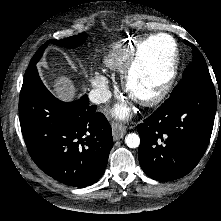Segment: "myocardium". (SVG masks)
Returning a JSON list of instances; mask_svg holds the SVG:
<instances>
[{
    "label": "myocardium",
    "instance_id": "obj_1",
    "mask_svg": "<svg viewBox=\"0 0 221 221\" xmlns=\"http://www.w3.org/2000/svg\"><path fill=\"white\" fill-rule=\"evenodd\" d=\"M156 37H166L172 43V51L165 68V77L157 84H151L144 87L141 93H136L133 89L134 75L140 64L146 45ZM179 62L178 45L172 35L168 33H156L142 38L136 45L130 59L122 71L121 79L124 91L132 100L141 105L150 107L160 103L168 93L176 78Z\"/></svg>",
    "mask_w": 221,
    "mask_h": 221
}]
</instances>
